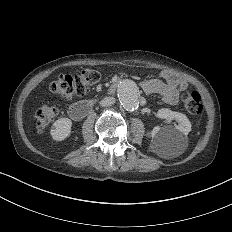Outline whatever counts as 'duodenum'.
Returning a JSON list of instances; mask_svg holds the SVG:
<instances>
[{
	"label": "duodenum",
	"instance_id": "410a0bca",
	"mask_svg": "<svg viewBox=\"0 0 232 232\" xmlns=\"http://www.w3.org/2000/svg\"><path fill=\"white\" fill-rule=\"evenodd\" d=\"M119 82V80L113 81L109 86V92H113L118 86ZM92 106V100L76 103L70 106V108L68 109V114L72 119L80 120L90 113Z\"/></svg>",
	"mask_w": 232,
	"mask_h": 232
}]
</instances>
